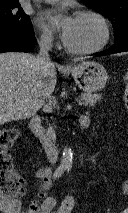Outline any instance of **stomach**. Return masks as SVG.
<instances>
[{
    "label": "stomach",
    "instance_id": "1",
    "mask_svg": "<svg viewBox=\"0 0 128 213\" xmlns=\"http://www.w3.org/2000/svg\"><path fill=\"white\" fill-rule=\"evenodd\" d=\"M71 74L79 88L88 93L100 91L108 80L105 67L91 61L74 66Z\"/></svg>",
    "mask_w": 128,
    "mask_h": 213
}]
</instances>
